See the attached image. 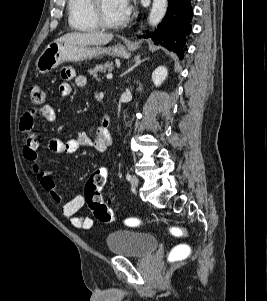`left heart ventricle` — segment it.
I'll list each match as a JSON object with an SVG mask.
<instances>
[{
    "instance_id": "1",
    "label": "left heart ventricle",
    "mask_w": 267,
    "mask_h": 301,
    "mask_svg": "<svg viewBox=\"0 0 267 301\" xmlns=\"http://www.w3.org/2000/svg\"><path fill=\"white\" fill-rule=\"evenodd\" d=\"M102 13L109 22H118L125 18L118 0H102Z\"/></svg>"
}]
</instances>
